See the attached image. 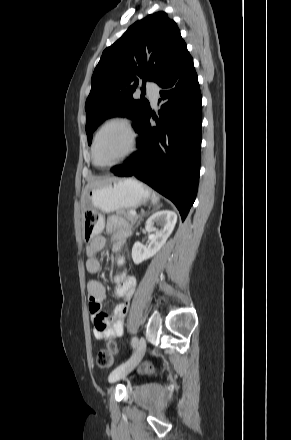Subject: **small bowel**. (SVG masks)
<instances>
[{
	"instance_id": "obj_1",
	"label": "small bowel",
	"mask_w": 291,
	"mask_h": 440,
	"mask_svg": "<svg viewBox=\"0 0 291 440\" xmlns=\"http://www.w3.org/2000/svg\"><path fill=\"white\" fill-rule=\"evenodd\" d=\"M107 230L109 232V243L118 252L122 243L130 235V227L124 220L111 218L108 221ZM106 245L107 238L98 236L87 246L85 266L88 271L96 273L100 270L98 254ZM114 281V293L122 298V302L110 312L101 310L100 307V302L106 294L104 285L97 280H92L87 284V292L91 302L89 310L94 318V336L102 342L121 335L123 319L135 290V279L133 277L115 276ZM142 369L146 372H155L157 371V365L149 363L142 366Z\"/></svg>"
}]
</instances>
